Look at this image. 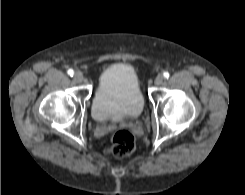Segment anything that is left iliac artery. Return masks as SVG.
I'll list each match as a JSON object with an SVG mask.
<instances>
[{
  "mask_svg": "<svg viewBox=\"0 0 245 195\" xmlns=\"http://www.w3.org/2000/svg\"><path fill=\"white\" fill-rule=\"evenodd\" d=\"M163 75H164L165 78H169V76H170V74L168 72H164Z\"/></svg>",
  "mask_w": 245,
  "mask_h": 195,
  "instance_id": "1",
  "label": "left iliac artery"
}]
</instances>
